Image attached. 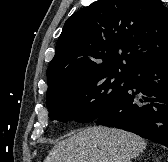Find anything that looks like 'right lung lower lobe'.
<instances>
[{"mask_svg":"<svg viewBox=\"0 0 168 162\" xmlns=\"http://www.w3.org/2000/svg\"><path fill=\"white\" fill-rule=\"evenodd\" d=\"M96 123L130 131L168 147V55L132 71Z\"/></svg>","mask_w":168,"mask_h":162,"instance_id":"right-lung-lower-lobe-1","label":"right lung lower lobe"}]
</instances>
